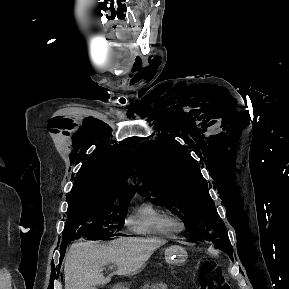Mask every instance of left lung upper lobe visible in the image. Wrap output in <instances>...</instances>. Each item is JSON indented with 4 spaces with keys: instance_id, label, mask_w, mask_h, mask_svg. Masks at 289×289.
I'll list each match as a JSON object with an SVG mask.
<instances>
[{
    "instance_id": "obj_1",
    "label": "left lung upper lobe",
    "mask_w": 289,
    "mask_h": 289,
    "mask_svg": "<svg viewBox=\"0 0 289 289\" xmlns=\"http://www.w3.org/2000/svg\"><path fill=\"white\" fill-rule=\"evenodd\" d=\"M140 147L137 171L142 176L137 191L152 197L153 204L165 206L186 219L188 241L212 242L234 260L224 222L208 193L199 165L188 150L171 137H159Z\"/></svg>"
}]
</instances>
